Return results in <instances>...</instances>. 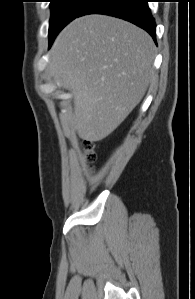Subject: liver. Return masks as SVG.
Segmentation results:
<instances>
[{
    "instance_id": "liver-1",
    "label": "liver",
    "mask_w": 195,
    "mask_h": 299,
    "mask_svg": "<svg viewBox=\"0 0 195 299\" xmlns=\"http://www.w3.org/2000/svg\"><path fill=\"white\" fill-rule=\"evenodd\" d=\"M50 54V73L73 93L74 129L90 142L104 139L123 122L154 76L149 34L105 15L72 21Z\"/></svg>"
}]
</instances>
